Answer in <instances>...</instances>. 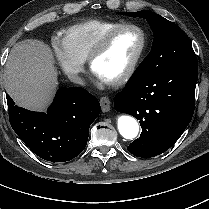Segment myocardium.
<instances>
[{"label": "myocardium", "mask_w": 209, "mask_h": 209, "mask_svg": "<svg viewBox=\"0 0 209 209\" xmlns=\"http://www.w3.org/2000/svg\"><path fill=\"white\" fill-rule=\"evenodd\" d=\"M127 29H134L140 33V35H141L140 47H139L137 53L135 54L134 58L132 59L130 65L127 67V69L122 74H120L119 76L112 78V79H104V78L99 77V79L102 82H104L105 84L122 85L133 78V76L135 75V73L140 65V62L144 56V53H145V50L147 47L148 36H147L146 31L142 27H140L139 25H136L133 23H119V24L113 26L112 28H110L109 30H107L101 36V38L98 40L96 45L93 47V49L91 50V52L87 58L89 68L94 73V63L102 55V53L106 50V48L108 47V45L111 42L112 37L116 33H118L119 31L127 30Z\"/></svg>", "instance_id": "myocardium-1"}]
</instances>
